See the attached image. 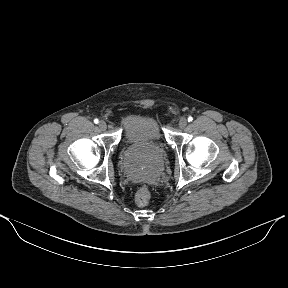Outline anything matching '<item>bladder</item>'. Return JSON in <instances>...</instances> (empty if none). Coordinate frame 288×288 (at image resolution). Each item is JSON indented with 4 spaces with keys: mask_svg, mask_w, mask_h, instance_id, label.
<instances>
[{
    "mask_svg": "<svg viewBox=\"0 0 288 288\" xmlns=\"http://www.w3.org/2000/svg\"><path fill=\"white\" fill-rule=\"evenodd\" d=\"M123 137L129 145L147 148L152 153H157L161 129L153 118L143 115L135 116L124 124Z\"/></svg>",
    "mask_w": 288,
    "mask_h": 288,
    "instance_id": "31cf9c89",
    "label": "bladder"
}]
</instances>
